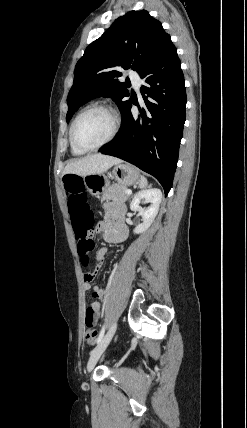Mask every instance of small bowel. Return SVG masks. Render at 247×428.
I'll return each mask as SVG.
<instances>
[{
  "instance_id": "obj_1",
  "label": "small bowel",
  "mask_w": 247,
  "mask_h": 428,
  "mask_svg": "<svg viewBox=\"0 0 247 428\" xmlns=\"http://www.w3.org/2000/svg\"><path fill=\"white\" fill-rule=\"evenodd\" d=\"M101 230L104 233L105 239L109 242L119 243L126 240L128 236V228L123 221V209L121 207L114 206V205L106 206L105 222L101 226ZM107 253H108V249L105 247H102L97 251L96 257H95L97 270L100 269V264L105 259ZM93 278H94V274L92 273L85 274V282L83 284V287L85 290H91L92 297L100 303L99 300H101L104 297V292L100 287L92 286L91 280H93ZM85 319H86V308H85Z\"/></svg>"
}]
</instances>
